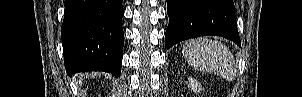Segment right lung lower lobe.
Returning <instances> with one entry per match:
<instances>
[{
	"label": "right lung lower lobe",
	"mask_w": 302,
	"mask_h": 97,
	"mask_svg": "<svg viewBox=\"0 0 302 97\" xmlns=\"http://www.w3.org/2000/svg\"><path fill=\"white\" fill-rule=\"evenodd\" d=\"M123 14L122 0H65L61 39L69 76L82 70L120 75Z\"/></svg>",
	"instance_id": "right-lung-lower-lobe-1"
}]
</instances>
